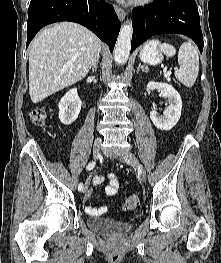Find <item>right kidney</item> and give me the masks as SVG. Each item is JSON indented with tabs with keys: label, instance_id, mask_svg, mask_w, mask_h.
Instances as JSON below:
<instances>
[{
	"label": "right kidney",
	"instance_id": "ca27d5eb",
	"mask_svg": "<svg viewBox=\"0 0 221 263\" xmlns=\"http://www.w3.org/2000/svg\"><path fill=\"white\" fill-rule=\"evenodd\" d=\"M81 99L78 96L77 89H70L60 100L58 104L59 119L62 124L70 125L77 118L81 110Z\"/></svg>",
	"mask_w": 221,
	"mask_h": 263
}]
</instances>
